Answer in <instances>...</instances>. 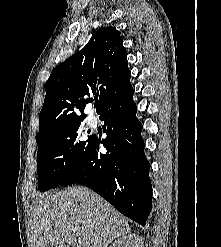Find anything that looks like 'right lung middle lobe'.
Returning <instances> with one entry per match:
<instances>
[{"label":"right lung middle lobe","mask_w":221,"mask_h":247,"mask_svg":"<svg viewBox=\"0 0 221 247\" xmlns=\"http://www.w3.org/2000/svg\"><path fill=\"white\" fill-rule=\"evenodd\" d=\"M88 133L82 121H76L36 138L40 191L60 185L83 156L91 140V136H87Z\"/></svg>","instance_id":"dd1d6c3e"}]
</instances>
